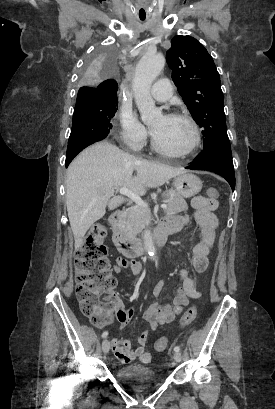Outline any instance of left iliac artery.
<instances>
[{
    "label": "left iliac artery",
    "instance_id": "1",
    "mask_svg": "<svg viewBox=\"0 0 275 409\" xmlns=\"http://www.w3.org/2000/svg\"><path fill=\"white\" fill-rule=\"evenodd\" d=\"M174 351H175V352L180 351V347H179V346L174 347Z\"/></svg>",
    "mask_w": 275,
    "mask_h": 409
}]
</instances>
